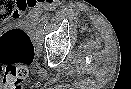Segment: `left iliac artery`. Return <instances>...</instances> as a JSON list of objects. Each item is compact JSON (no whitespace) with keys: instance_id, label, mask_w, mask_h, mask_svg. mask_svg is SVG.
Returning a JSON list of instances; mask_svg holds the SVG:
<instances>
[{"instance_id":"obj_1","label":"left iliac artery","mask_w":131,"mask_h":89,"mask_svg":"<svg viewBox=\"0 0 131 89\" xmlns=\"http://www.w3.org/2000/svg\"><path fill=\"white\" fill-rule=\"evenodd\" d=\"M49 18H50V14L43 17L41 19V21H39L40 25L45 27V25L47 24Z\"/></svg>"}]
</instances>
